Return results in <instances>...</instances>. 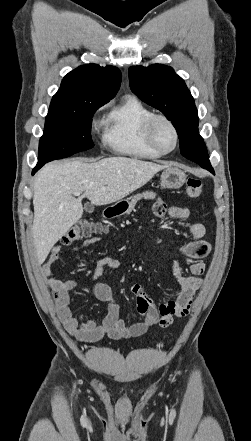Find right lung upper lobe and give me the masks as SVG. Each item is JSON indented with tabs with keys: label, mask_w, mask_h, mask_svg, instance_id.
<instances>
[{
	"label": "right lung upper lobe",
	"mask_w": 251,
	"mask_h": 441,
	"mask_svg": "<svg viewBox=\"0 0 251 441\" xmlns=\"http://www.w3.org/2000/svg\"><path fill=\"white\" fill-rule=\"evenodd\" d=\"M121 72L113 66L82 65L68 73L50 107H72L88 98L112 99L119 90Z\"/></svg>",
	"instance_id": "obj_1"
}]
</instances>
